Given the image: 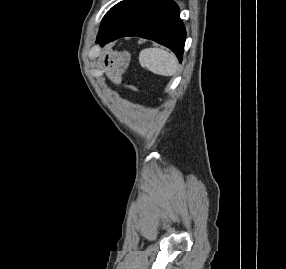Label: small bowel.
I'll list each match as a JSON object with an SVG mask.
<instances>
[{
    "label": "small bowel",
    "mask_w": 286,
    "mask_h": 269,
    "mask_svg": "<svg viewBox=\"0 0 286 269\" xmlns=\"http://www.w3.org/2000/svg\"><path fill=\"white\" fill-rule=\"evenodd\" d=\"M107 65V75L110 79H112L115 82H118L122 73V70L116 66L110 61H106Z\"/></svg>",
    "instance_id": "small-bowel-1"
}]
</instances>
